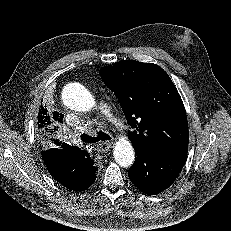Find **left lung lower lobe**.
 Masks as SVG:
<instances>
[{
	"label": "left lung lower lobe",
	"instance_id": "1",
	"mask_svg": "<svg viewBox=\"0 0 231 231\" xmlns=\"http://www.w3.org/2000/svg\"><path fill=\"white\" fill-rule=\"evenodd\" d=\"M136 159L128 170L132 183L148 195L159 194L177 178L186 157H166L148 148H134Z\"/></svg>",
	"mask_w": 231,
	"mask_h": 231
}]
</instances>
